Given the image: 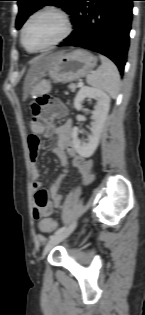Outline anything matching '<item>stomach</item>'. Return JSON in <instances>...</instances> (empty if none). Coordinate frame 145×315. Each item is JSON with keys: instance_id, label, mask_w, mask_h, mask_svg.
<instances>
[{"instance_id": "1", "label": "stomach", "mask_w": 145, "mask_h": 315, "mask_svg": "<svg viewBox=\"0 0 145 315\" xmlns=\"http://www.w3.org/2000/svg\"><path fill=\"white\" fill-rule=\"evenodd\" d=\"M96 63V57L90 52L77 49L70 53H61L43 76H48L54 82L69 83L90 75Z\"/></svg>"}]
</instances>
